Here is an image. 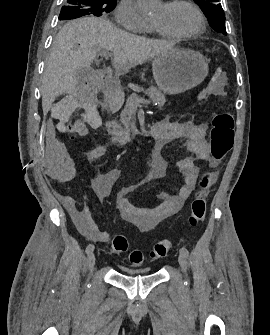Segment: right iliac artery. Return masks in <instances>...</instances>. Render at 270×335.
<instances>
[{
    "label": "right iliac artery",
    "mask_w": 270,
    "mask_h": 335,
    "mask_svg": "<svg viewBox=\"0 0 270 335\" xmlns=\"http://www.w3.org/2000/svg\"><path fill=\"white\" fill-rule=\"evenodd\" d=\"M94 250V245L93 244H89L86 248V253L90 254L91 252H93Z\"/></svg>",
    "instance_id": "82829eb1"
}]
</instances>
